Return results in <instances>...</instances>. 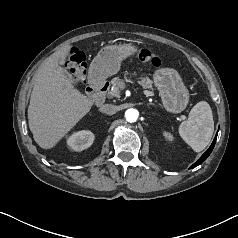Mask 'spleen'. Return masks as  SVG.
<instances>
[{
  "instance_id": "obj_1",
  "label": "spleen",
  "mask_w": 238,
  "mask_h": 238,
  "mask_svg": "<svg viewBox=\"0 0 238 238\" xmlns=\"http://www.w3.org/2000/svg\"><path fill=\"white\" fill-rule=\"evenodd\" d=\"M214 121L210 105L198 102L190 111L189 117L179 126L181 138L195 151H203L211 141Z\"/></svg>"
}]
</instances>
